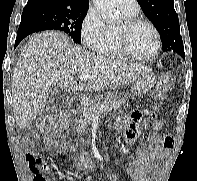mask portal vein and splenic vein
I'll return each mask as SVG.
<instances>
[{"mask_svg":"<svg viewBox=\"0 0 197 181\" xmlns=\"http://www.w3.org/2000/svg\"><path fill=\"white\" fill-rule=\"evenodd\" d=\"M79 79H80L81 81H87V80L90 79V76H89V75L81 74V75H79Z\"/></svg>","mask_w":197,"mask_h":181,"instance_id":"obj_1","label":"portal vein and splenic vein"}]
</instances>
